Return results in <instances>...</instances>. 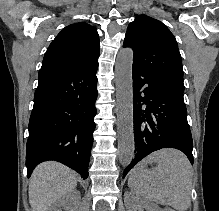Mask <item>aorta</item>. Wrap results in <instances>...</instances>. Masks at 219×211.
<instances>
[{
    "instance_id": "aorta-1",
    "label": "aorta",
    "mask_w": 219,
    "mask_h": 211,
    "mask_svg": "<svg viewBox=\"0 0 219 211\" xmlns=\"http://www.w3.org/2000/svg\"><path fill=\"white\" fill-rule=\"evenodd\" d=\"M133 51L122 49L115 64L117 100L118 157L123 167H127L134 157L135 142L133 129Z\"/></svg>"
}]
</instances>
